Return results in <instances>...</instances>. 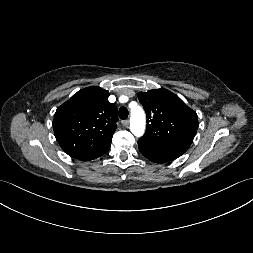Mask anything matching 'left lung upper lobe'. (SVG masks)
Masks as SVG:
<instances>
[{
  "mask_svg": "<svg viewBox=\"0 0 253 253\" xmlns=\"http://www.w3.org/2000/svg\"><path fill=\"white\" fill-rule=\"evenodd\" d=\"M137 96L147 114L146 133L138 144L184 154L198 128L196 112L163 88L140 92Z\"/></svg>",
  "mask_w": 253,
  "mask_h": 253,
  "instance_id": "1",
  "label": "left lung upper lobe"
}]
</instances>
